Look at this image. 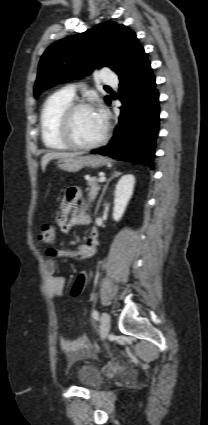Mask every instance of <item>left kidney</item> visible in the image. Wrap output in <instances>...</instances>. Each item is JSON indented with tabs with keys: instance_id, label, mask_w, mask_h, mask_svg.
Returning <instances> with one entry per match:
<instances>
[{
	"instance_id": "obj_1",
	"label": "left kidney",
	"mask_w": 208,
	"mask_h": 425,
	"mask_svg": "<svg viewBox=\"0 0 208 425\" xmlns=\"http://www.w3.org/2000/svg\"><path fill=\"white\" fill-rule=\"evenodd\" d=\"M134 185L135 177L132 174L122 176L117 182L112 214L115 221H119L122 218L127 204L133 195Z\"/></svg>"
}]
</instances>
